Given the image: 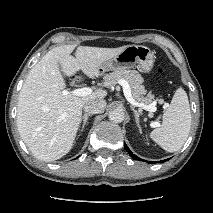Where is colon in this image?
Returning <instances> with one entry per match:
<instances>
[{
  "label": "colon",
  "instance_id": "colon-1",
  "mask_svg": "<svg viewBox=\"0 0 213 213\" xmlns=\"http://www.w3.org/2000/svg\"><path fill=\"white\" fill-rule=\"evenodd\" d=\"M157 72H158L159 74H162V73H163V68H162V67H158V68H157ZM75 80L79 81V80H81V77H80V76H77V77H75Z\"/></svg>",
  "mask_w": 213,
  "mask_h": 213
}]
</instances>
